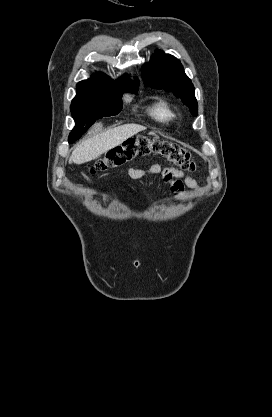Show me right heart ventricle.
<instances>
[{
    "label": "right heart ventricle",
    "mask_w": 272,
    "mask_h": 417,
    "mask_svg": "<svg viewBox=\"0 0 272 417\" xmlns=\"http://www.w3.org/2000/svg\"><path fill=\"white\" fill-rule=\"evenodd\" d=\"M152 119L163 124H170L176 118L171 105L163 98H158L148 109Z\"/></svg>",
    "instance_id": "obj_1"
}]
</instances>
